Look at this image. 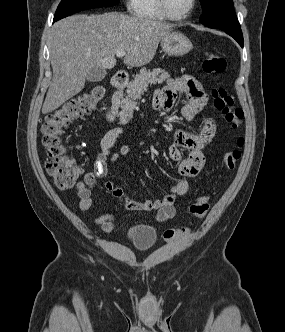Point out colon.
I'll list each match as a JSON object with an SVG mask.
<instances>
[{"label": "colon", "instance_id": "obj_1", "mask_svg": "<svg viewBox=\"0 0 285 332\" xmlns=\"http://www.w3.org/2000/svg\"><path fill=\"white\" fill-rule=\"evenodd\" d=\"M203 71L209 75L221 74L226 69V60L215 54L206 53L202 63ZM105 94L102 85H96L80 95L66 101L63 105L49 114L41 127L42 143L46 148L48 159L45 167L54 183L60 189H69L81 177L83 170L77 161L69 155L68 138L66 131L76 119L91 113ZM214 107L233 129L241 127L243 111L234 103L232 96L225 88L217 86L212 89ZM243 138L239 137L235 147L226 151L222 156V163L228 169H234L242 155ZM209 209L207 195L198 196L190 205V213L198 219L203 218ZM191 228L168 229L163 237L168 242L177 241L188 234Z\"/></svg>", "mask_w": 285, "mask_h": 332}]
</instances>
